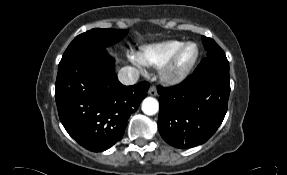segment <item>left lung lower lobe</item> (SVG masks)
Listing matches in <instances>:
<instances>
[{
    "label": "left lung lower lobe",
    "instance_id": "1",
    "mask_svg": "<svg viewBox=\"0 0 287 175\" xmlns=\"http://www.w3.org/2000/svg\"><path fill=\"white\" fill-rule=\"evenodd\" d=\"M158 129L173 147L186 149L205 143L227 112L229 76L220 73L192 75L179 85L158 86Z\"/></svg>",
    "mask_w": 287,
    "mask_h": 175
}]
</instances>
